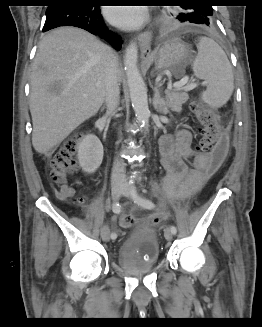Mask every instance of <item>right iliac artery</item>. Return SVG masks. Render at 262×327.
<instances>
[{
    "instance_id": "82829eb1",
    "label": "right iliac artery",
    "mask_w": 262,
    "mask_h": 327,
    "mask_svg": "<svg viewBox=\"0 0 262 327\" xmlns=\"http://www.w3.org/2000/svg\"><path fill=\"white\" fill-rule=\"evenodd\" d=\"M112 211L115 213V214H119L121 212V206L118 202H114L113 205H112ZM111 238L112 239H116L117 238V235L116 233H112L111 234Z\"/></svg>"
}]
</instances>
